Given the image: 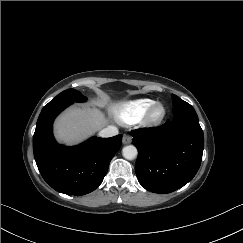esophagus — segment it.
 Masks as SVG:
<instances>
[{
	"instance_id": "obj_1",
	"label": "esophagus",
	"mask_w": 243,
	"mask_h": 243,
	"mask_svg": "<svg viewBox=\"0 0 243 243\" xmlns=\"http://www.w3.org/2000/svg\"><path fill=\"white\" fill-rule=\"evenodd\" d=\"M132 141V138L129 135H124L122 137V143L123 144H130Z\"/></svg>"
}]
</instances>
